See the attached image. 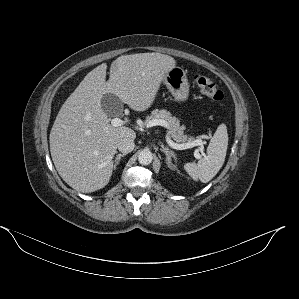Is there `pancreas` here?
Returning a JSON list of instances; mask_svg holds the SVG:
<instances>
[{
    "label": "pancreas",
    "instance_id": "cf45deb5",
    "mask_svg": "<svg viewBox=\"0 0 299 299\" xmlns=\"http://www.w3.org/2000/svg\"><path fill=\"white\" fill-rule=\"evenodd\" d=\"M155 119H162L168 123L169 133L174 141L177 143H184L186 141L190 142L193 140L192 137H188L184 134V126H180V121L171 115L167 110H153L150 116L146 117L145 123L148 125L151 121Z\"/></svg>",
    "mask_w": 299,
    "mask_h": 299
}]
</instances>
